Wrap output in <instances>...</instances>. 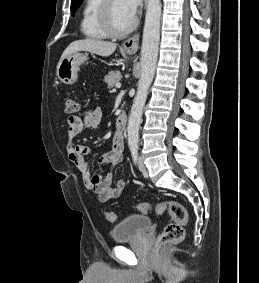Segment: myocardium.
<instances>
[{
  "label": "myocardium",
  "instance_id": "obj_1",
  "mask_svg": "<svg viewBox=\"0 0 259 283\" xmlns=\"http://www.w3.org/2000/svg\"><path fill=\"white\" fill-rule=\"evenodd\" d=\"M99 19L104 32L108 36L115 38L123 37L129 34L137 26V19L133 18L132 22L127 28L118 30L115 27L112 19V0H102V4L99 9Z\"/></svg>",
  "mask_w": 259,
  "mask_h": 283
}]
</instances>
